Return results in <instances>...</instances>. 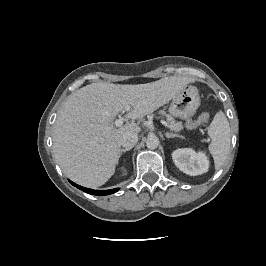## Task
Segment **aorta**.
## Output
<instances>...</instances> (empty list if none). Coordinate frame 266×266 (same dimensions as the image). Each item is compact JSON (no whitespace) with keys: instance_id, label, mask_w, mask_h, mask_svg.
I'll return each instance as SVG.
<instances>
[{"instance_id":"obj_1","label":"aorta","mask_w":266,"mask_h":266,"mask_svg":"<svg viewBox=\"0 0 266 266\" xmlns=\"http://www.w3.org/2000/svg\"><path fill=\"white\" fill-rule=\"evenodd\" d=\"M159 145V139L156 136H149L146 140V146L148 149H155Z\"/></svg>"}]
</instances>
